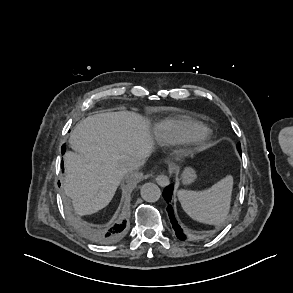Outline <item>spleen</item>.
<instances>
[{
	"label": "spleen",
	"instance_id": "obj_1",
	"mask_svg": "<svg viewBox=\"0 0 293 293\" xmlns=\"http://www.w3.org/2000/svg\"><path fill=\"white\" fill-rule=\"evenodd\" d=\"M233 177L226 176L204 191L179 190L178 199L183 210L194 220L209 224H223L229 214Z\"/></svg>",
	"mask_w": 293,
	"mask_h": 293
}]
</instances>
